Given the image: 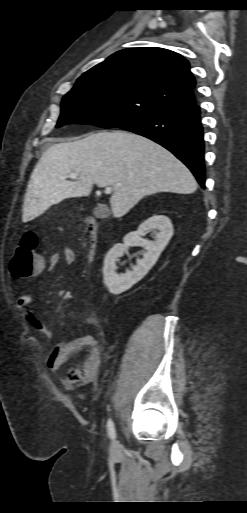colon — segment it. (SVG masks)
<instances>
[{"instance_id": "colon-1", "label": "colon", "mask_w": 247, "mask_h": 513, "mask_svg": "<svg viewBox=\"0 0 247 513\" xmlns=\"http://www.w3.org/2000/svg\"><path fill=\"white\" fill-rule=\"evenodd\" d=\"M36 248V235L32 232L25 233L10 262V273L13 279L29 278L41 269L42 262L37 256Z\"/></svg>"}]
</instances>
